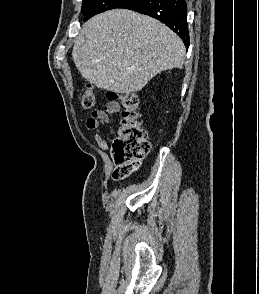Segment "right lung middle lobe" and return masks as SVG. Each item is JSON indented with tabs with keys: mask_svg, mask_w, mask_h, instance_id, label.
<instances>
[{
	"mask_svg": "<svg viewBox=\"0 0 259 294\" xmlns=\"http://www.w3.org/2000/svg\"><path fill=\"white\" fill-rule=\"evenodd\" d=\"M128 1L130 0H83L81 12L86 16L84 21L96 14L119 8Z\"/></svg>",
	"mask_w": 259,
	"mask_h": 294,
	"instance_id": "dd1d6c3e",
	"label": "right lung middle lobe"
}]
</instances>
